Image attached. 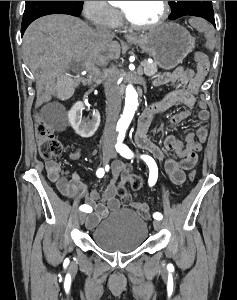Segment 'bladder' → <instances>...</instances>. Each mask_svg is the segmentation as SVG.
Wrapping results in <instances>:
<instances>
[{
    "label": "bladder",
    "mask_w": 237,
    "mask_h": 300,
    "mask_svg": "<svg viewBox=\"0 0 237 300\" xmlns=\"http://www.w3.org/2000/svg\"><path fill=\"white\" fill-rule=\"evenodd\" d=\"M148 224L136 212L125 209L101 221L91 231L92 241L108 252H132L146 241Z\"/></svg>",
    "instance_id": "31cf9c89"
}]
</instances>
